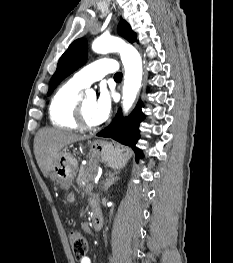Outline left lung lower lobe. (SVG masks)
<instances>
[{
    "instance_id": "left-lung-lower-lobe-1",
    "label": "left lung lower lobe",
    "mask_w": 233,
    "mask_h": 263,
    "mask_svg": "<svg viewBox=\"0 0 233 263\" xmlns=\"http://www.w3.org/2000/svg\"><path fill=\"white\" fill-rule=\"evenodd\" d=\"M141 107H143L142 102L126 118L122 116L121 110H119L111 125L97 134V136L112 138L121 144L130 146L135 152L137 160L142 156L141 150L135 146L140 137L139 124L144 119Z\"/></svg>"
}]
</instances>
